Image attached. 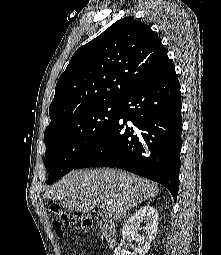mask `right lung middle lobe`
Returning <instances> with one entry per match:
<instances>
[{"mask_svg":"<svg viewBox=\"0 0 221 255\" xmlns=\"http://www.w3.org/2000/svg\"><path fill=\"white\" fill-rule=\"evenodd\" d=\"M119 109V103L90 106L45 131L47 184L75 168L115 122Z\"/></svg>","mask_w":221,"mask_h":255,"instance_id":"dd1d6c3e","label":"right lung middle lobe"}]
</instances>
